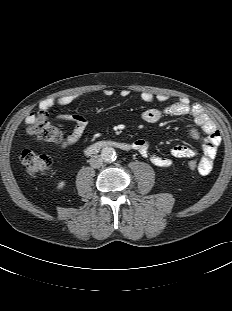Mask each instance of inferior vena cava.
<instances>
[{
  "label": "inferior vena cava",
  "instance_id": "inferior-vena-cava-1",
  "mask_svg": "<svg viewBox=\"0 0 232 311\" xmlns=\"http://www.w3.org/2000/svg\"><path fill=\"white\" fill-rule=\"evenodd\" d=\"M89 163L93 168H99L103 164V159L100 155H94L90 158Z\"/></svg>",
  "mask_w": 232,
  "mask_h": 311
}]
</instances>
